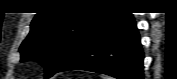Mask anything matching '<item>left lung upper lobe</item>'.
<instances>
[{
  "mask_svg": "<svg viewBox=\"0 0 177 79\" xmlns=\"http://www.w3.org/2000/svg\"><path fill=\"white\" fill-rule=\"evenodd\" d=\"M106 14L104 11L66 10L38 13L32 21L29 35L20 46L21 60L38 61L46 69L45 77H51Z\"/></svg>",
  "mask_w": 177,
  "mask_h": 79,
  "instance_id": "5c2ea615",
  "label": "left lung upper lobe"
}]
</instances>
